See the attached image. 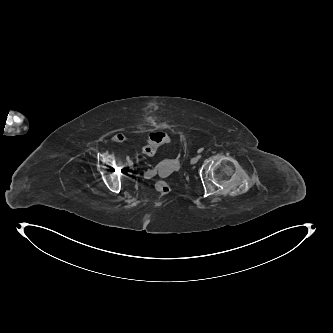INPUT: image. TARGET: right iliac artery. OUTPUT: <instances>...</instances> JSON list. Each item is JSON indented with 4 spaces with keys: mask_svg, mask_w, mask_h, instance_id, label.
I'll use <instances>...</instances> for the list:
<instances>
[{
    "mask_svg": "<svg viewBox=\"0 0 333 333\" xmlns=\"http://www.w3.org/2000/svg\"><path fill=\"white\" fill-rule=\"evenodd\" d=\"M126 159H127V162L129 163V162H130V158H129V156H127Z\"/></svg>",
    "mask_w": 333,
    "mask_h": 333,
    "instance_id": "1",
    "label": "right iliac artery"
}]
</instances>
